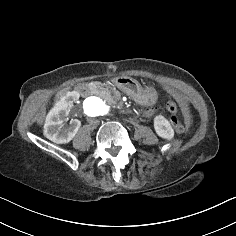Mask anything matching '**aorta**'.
I'll use <instances>...</instances> for the list:
<instances>
[{"mask_svg": "<svg viewBox=\"0 0 236 236\" xmlns=\"http://www.w3.org/2000/svg\"><path fill=\"white\" fill-rule=\"evenodd\" d=\"M109 106L98 96L87 97L83 101L82 112L87 118L102 117L108 114Z\"/></svg>", "mask_w": 236, "mask_h": 236, "instance_id": "aorta-1", "label": "aorta"}]
</instances>
